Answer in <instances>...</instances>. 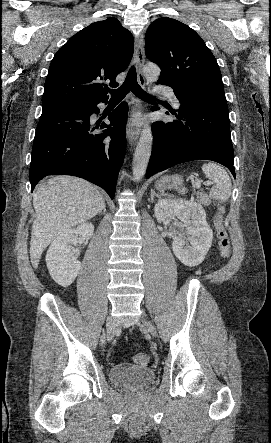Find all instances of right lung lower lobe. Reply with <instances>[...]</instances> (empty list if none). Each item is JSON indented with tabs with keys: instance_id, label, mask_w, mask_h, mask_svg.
Here are the masks:
<instances>
[{
	"instance_id": "obj_1",
	"label": "right lung lower lobe",
	"mask_w": 271,
	"mask_h": 443,
	"mask_svg": "<svg viewBox=\"0 0 271 443\" xmlns=\"http://www.w3.org/2000/svg\"><path fill=\"white\" fill-rule=\"evenodd\" d=\"M107 100L77 102L43 110L31 156V191L47 175H73L102 187L114 198L116 181L125 156V127L128 106L113 110L110 125L102 134L91 132L90 116L97 104ZM108 136L110 138H108Z\"/></svg>"
}]
</instances>
